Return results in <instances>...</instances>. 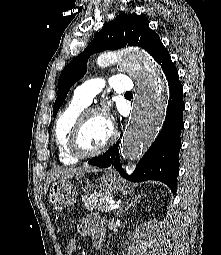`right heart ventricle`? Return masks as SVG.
<instances>
[{
    "mask_svg": "<svg viewBox=\"0 0 221 255\" xmlns=\"http://www.w3.org/2000/svg\"><path fill=\"white\" fill-rule=\"evenodd\" d=\"M84 108L85 106L78 105L72 101L60 112L55 121L53 138L59 161L63 165H74L78 162V158L73 156L69 150V138L72 128Z\"/></svg>",
    "mask_w": 221,
    "mask_h": 255,
    "instance_id": "1",
    "label": "right heart ventricle"
}]
</instances>
